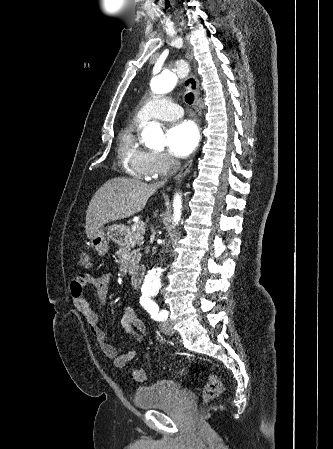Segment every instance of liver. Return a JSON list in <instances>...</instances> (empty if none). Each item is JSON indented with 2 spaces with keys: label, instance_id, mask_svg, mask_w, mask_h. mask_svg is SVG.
Listing matches in <instances>:
<instances>
[{
  "label": "liver",
  "instance_id": "6515ba94",
  "mask_svg": "<svg viewBox=\"0 0 333 449\" xmlns=\"http://www.w3.org/2000/svg\"><path fill=\"white\" fill-rule=\"evenodd\" d=\"M158 185H148L125 177L113 178L94 194L86 212L85 231L88 238L108 222L130 217L145 207Z\"/></svg>",
  "mask_w": 333,
  "mask_h": 449
}]
</instances>
